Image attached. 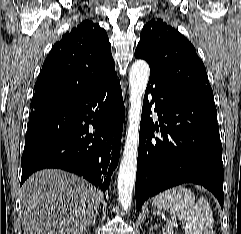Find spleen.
I'll return each mask as SVG.
<instances>
[{
	"label": "spleen",
	"mask_w": 241,
	"mask_h": 234,
	"mask_svg": "<svg viewBox=\"0 0 241 234\" xmlns=\"http://www.w3.org/2000/svg\"><path fill=\"white\" fill-rule=\"evenodd\" d=\"M153 205L167 210L182 221L185 234H214L213 214L206 199L195 195L184 186L165 190L153 199Z\"/></svg>",
	"instance_id": "3e777b00"
}]
</instances>
